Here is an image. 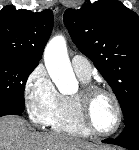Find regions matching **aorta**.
I'll return each mask as SVG.
<instances>
[{
    "label": "aorta",
    "instance_id": "obj_1",
    "mask_svg": "<svg viewBox=\"0 0 139 150\" xmlns=\"http://www.w3.org/2000/svg\"><path fill=\"white\" fill-rule=\"evenodd\" d=\"M44 62L51 79L61 93L70 94L76 91L78 84L63 36H56L49 41L44 51Z\"/></svg>",
    "mask_w": 139,
    "mask_h": 150
}]
</instances>
